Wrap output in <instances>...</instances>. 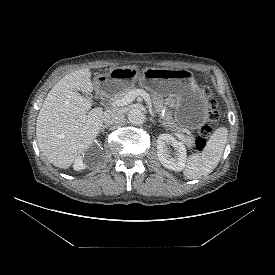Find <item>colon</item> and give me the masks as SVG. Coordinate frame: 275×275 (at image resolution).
<instances>
[{
    "mask_svg": "<svg viewBox=\"0 0 275 275\" xmlns=\"http://www.w3.org/2000/svg\"><path fill=\"white\" fill-rule=\"evenodd\" d=\"M204 97L208 100V110L205 124L201 127L198 136L195 139V149L202 151L206 146V139L213 131V127L218 120L217 103L212 99V93L209 87L202 88Z\"/></svg>",
    "mask_w": 275,
    "mask_h": 275,
    "instance_id": "1",
    "label": "colon"
}]
</instances>
